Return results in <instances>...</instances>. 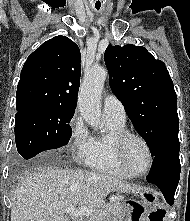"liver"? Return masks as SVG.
<instances>
[{
    "label": "liver",
    "mask_w": 190,
    "mask_h": 221,
    "mask_svg": "<svg viewBox=\"0 0 190 221\" xmlns=\"http://www.w3.org/2000/svg\"><path fill=\"white\" fill-rule=\"evenodd\" d=\"M139 191L137 186L107 174L36 167L13 192L11 221H69L64 216L69 206L97 209L111 192Z\"/></svg>",
    "instance_id": "1"
}]
</instances>
